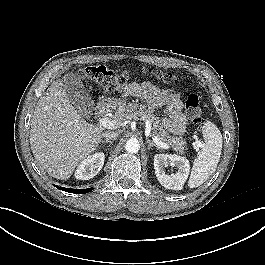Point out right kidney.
Here are the masks:
<instances>
[{"instance_id": "right-kidney-1", "label": "right kidney", "mask_w": 265, "mask_h": 265, "mask_svg": "<svg viewBox=\"0 0 265 265\" xmlns=\"http://www.w3.org/2000/svg\"><path fill=\"white\" fill-rule=\"evenodd\" d=\"M105 155L97 152L86 157L78 166L75 177L80 180H89L99 173L104 165Z\"/></svg>"}]
</instances>
